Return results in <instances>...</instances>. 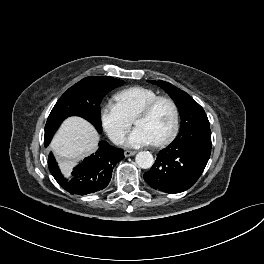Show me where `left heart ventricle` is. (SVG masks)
<instances>
[{
    "mask_svg": "<svg viewBox=\"0 0 264 264\" xmlns=\"http://www.w3.org/2000/svg\"><path fill=\"white\" fill-rule=\"evenodd\" d=\"M173 122V110L169 103L160 102L152 113L136 121L135 125L142 128L153 141L165 136Z\"/></svg>",
    "mask_w": 264,
    "mask_h": 264,
    "instance_id": "obj_1",
    "label": "left heart ventricle"
}]
</instances>
